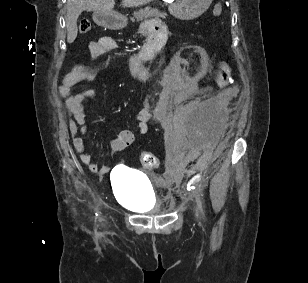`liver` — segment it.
<instances>
[{"label":"liver","mask_w":308,"mask_h":283,"mask_svg":"<svg viewBox=\"0 0 308 283\" xmlns=\"http://www.w3.org/2000/svg\"><path fill=\"white\" fill-rule=\"evenodd\" d=\"M153 0H122L123 7H138ZM115 0H68L67 1V42L73 43L77 37V19L83 11H100L111 13Z\"/></svg>","instance_id":"liver-1"}]
</instances>
